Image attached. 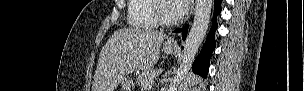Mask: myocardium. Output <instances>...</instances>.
Instances as JSON below:
<instances>
[{"label": "myocardium", "mask_w": 304, "mask_h": 91, "mask_svg": "<svg viewBox=\"0 0 304 91\" xmlns=\"http://www.w3.org/2000/svg\"><path fill=\"white\" fill-rule=\"evenodd\" d=\"M171 0H155L153 5V15L160 26L167 27L177 24L181 20V16L168 18L163 14L162 4Z\"/></svg>", "instance_id": "f54148a6"}]
</instances>
